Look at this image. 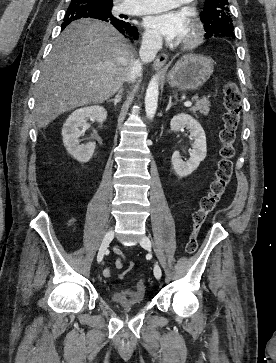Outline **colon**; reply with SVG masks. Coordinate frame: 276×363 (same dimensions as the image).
I'll return each instance as SVG.
<instances>
[{
	"mask_svg": "<svg viewBox=\"0 0 276 363\" xmlns=\"http://www.w3.org/2000/svg\"><path fill=\"white\" fill-rule=\"evenodd\" d=\"M223 94L226 112L223 116L224 126L219 134L221 141V158L218 163L215 179L210 185L209 192L201 199L199 207L192 215V230L185 247L188 254H193L197 251L198 237L202 225L209 213L216 207L224 195L233 172V157L235 155L234 143L239 122L241 95L233 82H227L224 85ZM132 267L133 263L130 262L128 268L131 269Z\"/></svg>",
	"mask_w": 276,
	"mask_h": 363,
	"instance_id": "obj_1",
	"label": "colon"
}]
</instances>
